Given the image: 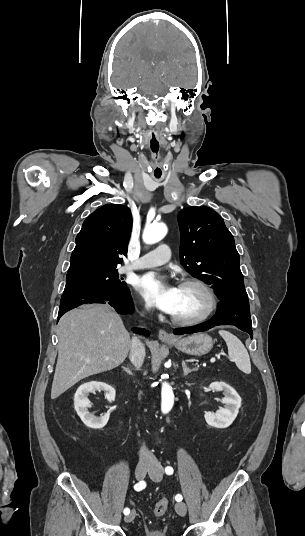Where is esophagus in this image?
<instances>
[{"mask_svg": "<svg viewBox=\"0 0 305 536\" xmlns=\"http://www.w3.org/2000/svg\"><path fill=\"white\" fill-rule=\"evenodd\" d=\"M159 339L164 342H172L175 340L167 331L160 329L158 333Z\"/></svg>", "mask_w": 305, "mask_h": 536, "instance_id": "esophagus-1", "label": "esophagus"}]
</instances>
